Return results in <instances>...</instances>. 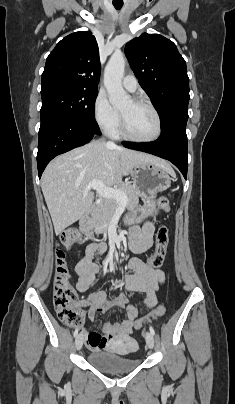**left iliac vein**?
<instances>
[{"mask_svg":"<svg viewBox=\"0 0 235 404\" xmlns=\"http://www.w3.org/2000/svg\"><path fill=\"white\" fill-rule=\"evenodd\" d=\"M145 339H146V344H147V346H148L150 349H152V348L154 347V337H153V335L151 334V332H147V333H146Z\"/></svg>","mask_w":235,"mask_h":404,"instance_id":"4c4485c4","label":"left iliac vein"}]
</instances>
